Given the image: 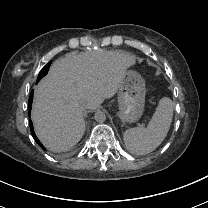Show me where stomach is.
Masks as SVG:
<instances>
[{
    "label": "stomach",
    "instance_id": "0dacf381",
    "mask_svg": "<svg viewBox=\"0 0 208 208\" xmlns=\"http://www.w3.org/2000/svg\"><path fill=\"white\" fill-rule=\"evenodd\" d=\"M145 81L133 70H128L119 85V115L126 122H136L142 116L145 103Z\"/></svg>",
    "mask_w": 208,
    "mask_h": 208
}]
</instances>
